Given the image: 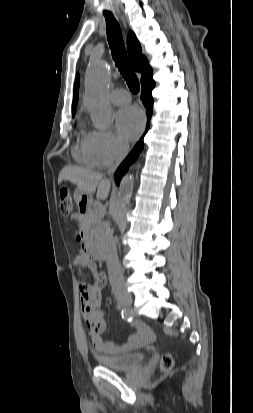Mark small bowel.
Instances as JSON below:
<instances>
[{"instance_id": "obj_1", "label": "small bowel", "mask_w": 253, "mask_h": 413, "mask_svg": "<svg viewBox=\"0 0 253 413\" xmlns=\"http://www.w3.org/2000/svg\"><path fill=\"white\" fill-rule=\"evenodd\" d=\"M72 220H79L80 215L74 214ZM76 267H87L92 271L93 282H83L80 285L81 314L87 327L88 334L94 351L100 355H117L122 352L140 348L155 339L152 329L141 321L134 322L136 333L123 344L104 342L101 333L106 328L105 312L101 308V289L105 286L107 277L104 271L98 270L94 261L83 253H78L74 258Z\"/></svg>"}]
</instances>
